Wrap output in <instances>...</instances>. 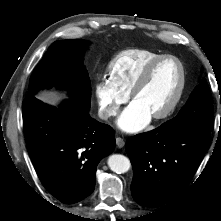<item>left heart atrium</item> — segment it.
<instances>
[{"instance_id":"39dd6f15","label":"left heart atrium","mask_w":221,"mask_h":221,"mask_svg":"<svg viewBox=\"0 0 221 221\" xmlns=\"http://www.w3.org/2000/svg\"><path fill=\"white\" fill-rule=\"evenodd\" d=\"M150 113L139 103L133 101L120 115L118 126L125 132L133 133L142 130L150 121Z\"/></svg>"}]
</instances>
